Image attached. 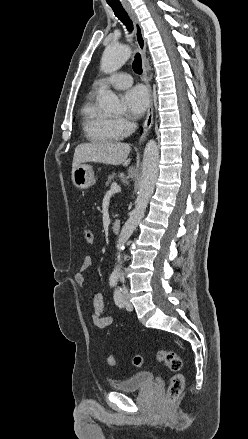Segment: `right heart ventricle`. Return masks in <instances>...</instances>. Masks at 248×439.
Listing matches in <instances>:
<instances>
[{
    "instance_id": "e07e8e85",
    "label": "right heart ventricle",
    "mask_w": 248,
    "mask_h": 439,
    "mask_svg": "<svg viewBox=\"0 0 248 439\" xmlns=\"http://www.w3.org/2000/svg\"><path fill=\"white\" fill-rule=\"evenodd\" d=\"M82 129L86 137L95 143H113L122 139L113 119L101 114L95 102V92H91L81 107Z\"/></svg>"
}]
</instances>
